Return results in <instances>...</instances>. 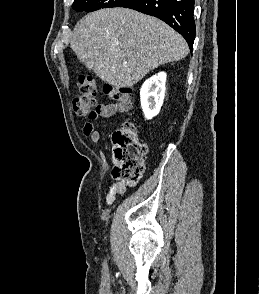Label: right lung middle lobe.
I'll return each instance as SVG.
<instances>
[{
	"instance_id": "dd1d6c3e",
	"label": "right lung middle lobe",
	"mask_w": 259,
	"mask_h": 294,
	"mask_svg": "<svg viewBox=\"0 0 259 294\" xmlns=\"http://www.w3.org/2000/svg\"><path fill=\"white\" fill-rule=\"evenodd\" d=\"M128 0H74L72 8L78 12H93L101 8L119 7Z\"/></svg>"
}]
</instances>
